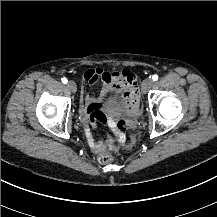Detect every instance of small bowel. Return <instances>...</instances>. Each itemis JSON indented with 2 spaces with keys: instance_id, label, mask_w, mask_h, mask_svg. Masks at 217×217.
<instances>
[{
  "instance_id": "1",
  "label": "small bowel",
  "mask_w": 217,
  "mask_h": 217,
  "mask_svg": "<svg viewBox=\"0 0 217 217\" xmlns=\"http://www.w3.org/2000/svg\"><path fill=\"white\" fill-rule=\"evenodd\" d=\"M95 80H103L104 85L99 98H113L123 105L125 111L131 115H138L140 96L137 89V75L128 68L120 71H112L109 67L103 69L92 68L83 76L86 84H92ZM80 105V121L85 131L87 143L93 154L100 155L111 144V138L106 141L96 139L92 129H97L98 123L105 124L118 138L119 142L125 139L127 127L126 119L114 118L106 115L101 104L93 94L82 89Z\"/></svg>"
}]
</instances>
